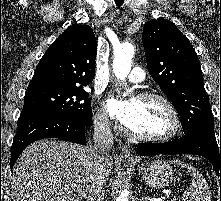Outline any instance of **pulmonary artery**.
<instances>
[{"label":"pulmonary artery","mask_w":221,"mask_h":201,"mask_svg":"<svg viewBox=\"0 0 221 201\" xmlns=\"http://www.w3.org/2000/svg\"><path fill=\"white\" fill-rule=\"evenodd\" d=\"M128 81L131 83H142L145 80V72L140 67H134L128 75Z\"/></svg>","instance_id":"1"}]
</instances>
